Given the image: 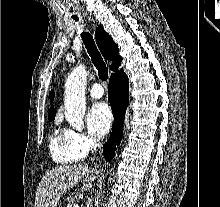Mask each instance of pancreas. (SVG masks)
Returning <instances> with one entry per match:
<instances>
[{
    "instance_id": "cf45deb5",
    "label": "pancreas",
    "mask_w": 220,
    "mask_h": 207,
    "mask_svg": "<svg viewBox=\"0 0 220 207\" xmlns=\"http://www.w3.org/2000/svg\"><path fill=\"white\" fill-rule=\"evenodd\" d=\"M74 204H75V201H74V199L70 196V197L68 198L67 207H74Z\"/></svg>"
}]
</instances>
